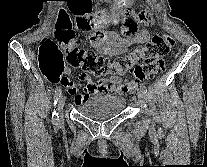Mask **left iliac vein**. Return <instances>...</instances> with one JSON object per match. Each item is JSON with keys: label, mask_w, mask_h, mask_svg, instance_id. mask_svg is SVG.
I'll use <instances>...</instances> for the list:
<instances>
[{"label": "left iliac vein", "mask_w": 207, "mask_h": 167, "mask_svg": "<svg viewBox=\"0 0 207 167\" xmlns=\"http://www.w3.org/2000/svg\"><path fill=\"white\" fill-rule=\"evenodd\" d=\"M137 97L140 99V100H143L144 99V93L139 90L138 93H137Z\"/></svg>", "instance_id": "obj_1"}]
</instances>
